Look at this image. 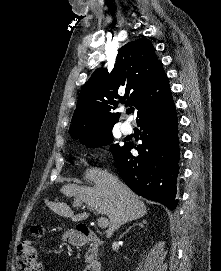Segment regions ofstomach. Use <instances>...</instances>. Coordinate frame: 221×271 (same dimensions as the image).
<instances>
[{"label":"stomach","mask_w":221,"mask_h":271,"mask_svg":"<svg viewBox=\"0 0 221 271\" xmlns=\"http://www.w3.org/2000/svg\"><path fill=\"white\" fill-rule=\"evenodd\" d=\"M82 234L78 233V230H65L63 238H81Z\"/></svg>","instance_id":"0dacf381"}]
</instances>
